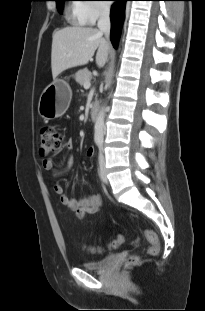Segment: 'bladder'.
Masks as SVG:
<instances>
[{
	"mask_svg": "<svg viewBox=\"0 0 205 311\" xmlns=\"http://www.w3.org/2000/svg\"><path fill=\"white\" fill-rule=\"evenodd\" d=\"M114 255L106 256L102 259L82 263L81 267L90 271H102L113 261Z\"/></svg>",
	"mask_w": 205,
	"mask_h": 311,
	"instance_id": "31cf9c89",
	"label": "bladder"
}]
</instances>
